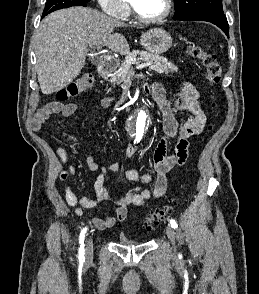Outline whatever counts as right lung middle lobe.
I'll use <instances>...</instances> for the list:
<instances>
[{
    "label": "right lung middle lobe",
    "instance_id": "obj_1",
    "mask_svg": "<svg viewBox=\"0 0 259 294\" xmlns=\"http://www.w3.org/2000/svg\"><path fill=\"white\" fill-rule=\"evenodd\" d=\"M89 1L90 0H47L42 16L44 17L55 10L63 8L72 6H86L87 2Z\"/></svg>",
    "mask_w": 259,
    "mask_h": 294
}]
</instances>
